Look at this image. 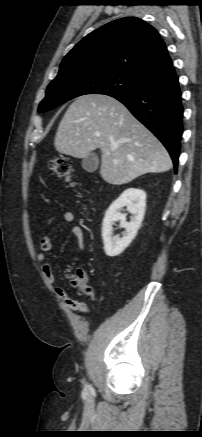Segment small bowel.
Listing matches in <instances>:
<instances>
[{
	"label": "small bowel",
	"mask_w": 202,
	"mask_h": 437,
	"mask_svg": "<svg viewBox=\"0 0 202 437\" xmlns=\"http://www.w3.org/2000/svg\"><path fill=\"white\" fill-rule=\"evenodd\" d=\"M63 222L69 224L74 220V214L72 211L66 210L62 215ZM55 222V216H50L46 221V226L50 227ZM70 233L76 238L79 249L83 250L85 248L84 232L82 228L78 225H74L70 228ZM52 237L46 235L41 238L39 245V253L37 254V261L42 264V271L45 280L53 285L55 283V275L53 271V266L50 262L46 260L47 253L52 249ZM57 295L62 299L64 304L70 309L79 311L83 314L89 312V308L86 303L75 301L69 298L67 292L63 288L56 289Z\"/></svg>",
	"instance_id": "small-bowel-1"
}]
</instances>
